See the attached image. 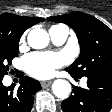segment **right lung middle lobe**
<instances>
[{"label": "right lung middle lobe", "instance_id": "1", "mask_svg": "<svg viewBox=\"0 0 112 112\" xmlns=\"http://www.w3.org/2000/svg\"><path fill=\"white\" fill-rule=\"evenodd\" d=\"M19 37L0 36V78L7 74L11 61L18 54Z\"/></svg>", "mask_w": 112, "mask_h": 112}]
</instances>
